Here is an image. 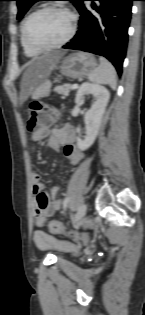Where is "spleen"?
Wrapping results in <instances>:
<instances>
[{
  "label": "spleen",
  "instance_id": "3e777b00",
  "mask_svg": "<svg viewBox=\"0 0 145 315\" xmlns=\"http://www.w3.org/2000/svg\"><path fill=\"white\" fill-rule=\"evenodd\" d=\"M99 61L100 65L89 74V81L96 84L109 85L115 90L117 86V74L114 66L104 57H100Z\"/></svg>",
  "mask_w": 145,
  "mask_h": 315
}]
</instances>
